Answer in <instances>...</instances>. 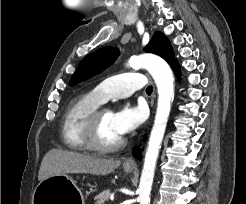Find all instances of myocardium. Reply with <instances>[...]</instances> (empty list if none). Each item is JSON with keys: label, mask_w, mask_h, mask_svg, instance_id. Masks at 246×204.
Listing matches in <instances>:
<instances>
[{"label": "myocardium", "mask_w": 246, "mask_h": 204, "mask_svg": "<svg viewBox=\"0 0 246 204\" xmlns=\"http://www.w3.org/2000/svg\"><path fill=\"white\" fill-rule=\"evenodd\" d=\"M105 109H97L89 117L86 127L84 129V141L88 149L99 152V153H110L114 152L125 144V139L122 137L117 142L105 145L99 141L98 133L100 127V120L102 113Z\"/></svg>", "instance_id": "1"}]
</instances>
